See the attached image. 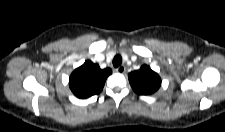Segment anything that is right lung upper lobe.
I'll return each mask as SVG.
<instances>
[{
  "label": "right lung upper lobe",
  "mask_w": 225,
  "mask_h": 132,
  "mask_svg": "<svg viewBox=\"0 0 225 132\" xmlns=\"http://www.w3.org/2000/svg\"><path fill=\"white\" fill-rule=\"evenodd\" d=\"M111 73L110 68L100 69L98 64L86 61L72 72L69 87L78 98H88L102 91L106 78Z\"/></svg>",
  "instance_id": "right-lung-upper-lobe-1"
}]
</instances>
